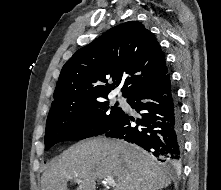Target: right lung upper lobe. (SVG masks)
I'll return each mask as SVG.
<instances>
[{"mask_svg": "<svg viewBox=\"0 0 221 190\" xmlns=\"http://www.w3.org/2000/svg\"><path fill=\"white\" fill-rule=\"evenodd\" d=\"M167 73L154 35L138 21L125 22L77 50L64 64L51 109L105 98L120 83L127 98Z\"/></svg>", "mask_w": 221, "mask_h": 190, "instance_id": "cb5924a9", "label": "right lung upper lobe"}]
</instances>
